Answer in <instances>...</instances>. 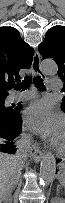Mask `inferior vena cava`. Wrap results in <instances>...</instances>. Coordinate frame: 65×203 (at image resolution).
<instances>
[{
    "label": "inferior vena cava",
    "mask_w": 65,
    "mask_h": 203,
    "mask_svg": "<svg viewBox=\"0 0 65 203\" xmlns=\"http://www.w3.org/2000/svg\"><path fill=\"white\" fill-rule=\"evenodd\" d=\"M32 141L30 137H22L20 140L17 141L16 144V160H17V167H16V176L21 172V169L24 165L25 160L27 159L29 152L31 151ZM15 178L13 180V184L15 183Z\"/></svg>",
    "instance_id": "inferior-vena-cava-1"
}]
</instances>
